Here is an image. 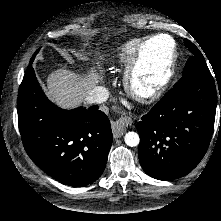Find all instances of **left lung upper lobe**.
<instances>
[{"mask_svg":"<svg viewBox=\"0 0 221 221\" xmlns=\"http://www.w3.org/2000/svg\"><path fill=\"white\" fill-rule=\"evenodd\" d=\"M184 44L192 52V56L188 59L184 67L183 77L181 79L191 76L213 78L199 49L187 39H185Z\"/></svg>","mask_w":221,"mask_h":221,"instance_id":"5c2ea615","label":"left lung upper lobe"}]
</instances>
